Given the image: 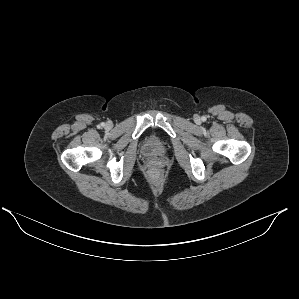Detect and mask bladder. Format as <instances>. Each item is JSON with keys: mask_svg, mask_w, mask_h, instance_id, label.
I'll list each match as a JSON object with an SVG mask.
<instances>
[{"mask_svg": "<svg viewBox=\"0 0 299 299\" xmlns=\"http://www.w3.org/2000/svg\"><path fill=\"white\" fill-rule=\"evenodd\" d=\"M168 147V143L155 133L147 134L142 140V151L148 158L164 156Z\"/></svg>", "mask_w": 299, "mask_h": 299, "instance_id": "31cf9c89", "label": "bladder"}]
</instances>
